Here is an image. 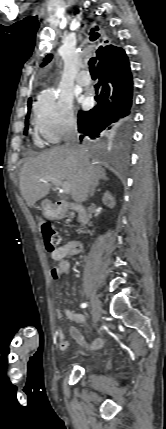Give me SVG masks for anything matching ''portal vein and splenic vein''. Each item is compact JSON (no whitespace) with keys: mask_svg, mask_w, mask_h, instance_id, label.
<instances>
[{"mask_svg":"<svg viewBox=\"0 0 166 429\" xmlns=\"http://www.w3.org/2000/svg\"><path fill=\"white\" fill-rule=\"evenodd\" d=\"M44 182L52 181L55 185L61 187V192L68 194L70 192L71 186L68 182H60L54 179L43 180Z\"/></svg>","mask_w":166,"mask_h":429,"instance_id":"obj_1","label":"portal vein and splenic vein"}]
</instances>
